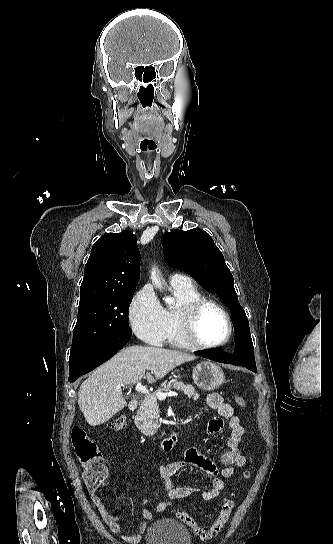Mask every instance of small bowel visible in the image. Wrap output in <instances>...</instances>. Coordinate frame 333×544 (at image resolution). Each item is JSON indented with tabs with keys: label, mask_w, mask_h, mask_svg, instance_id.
<instances>
[{
	"label": "small bowel",
	"mask_w": 333,
	"mask_h": 544,
	"mask_svg": "<svg viewBox=\"0 0 333 544\" xmlns=\"http://www.w3.org/2000/svg\"><path fill=\"white\" fill-rule=\"evenodd\" d=\"M206 404L208 408L215 410L218 414L216 418H213L208 423L207 430L209 434L219 432L223 428L224 421L228 423L230 435L227 440V450L221 456V462L225 467L220 470L214 461L206 457L195 447L187 448L181 460L157 465L159 475L164 482L165 490V498L156 507L157 513H162L169 509L173 501L187 498L199 491L197 487L192 485L176 486L173 484L172 477L182 472L185 468L192 466L214 477L211 486L202 491V498L205 501H212L219 496L225 487L223 478L228 479L233 477L235 469L243 467L246 463V458L240 451V442L244 434V429L239 418L235 415L233 407L224 402L222 396L216 392L210 393L207 396ZM219 475L222 477H219ZM90 494L101 517L113 533L117 534L125 542H139L147 528L148 522L153 517L152 512L147 508L146 498L142 500L143 521L139 524L138 531L134 534H127L122 530L119 517L112 514L106 508L99 489L90 490Z\"/></svg>",
	"instance_id": "obj_1"
}]
</instances>
